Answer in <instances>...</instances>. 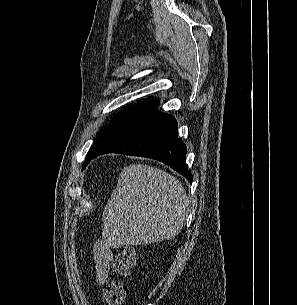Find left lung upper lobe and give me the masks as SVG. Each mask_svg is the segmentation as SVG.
Instances as JSON below:
<instances>
[{"label":"left lung upper lobe","mask_w":297,"mask_h":305,"mask_svg":"<svg viewBox=\"0 0 297 305\" xmlns=\"http://www.w3.org/2000/svg\"><path fill=\"white\" fill-rule=\"evenodd\" d=\"M119 114H120V113H117V114L114 116L113 120H111V122H110V123L105 127V129L103 130L102 134L96 139V141L94 142L93 146L91 147V149L89 150V152H88V154H87L86 160H85V162H84V164H83V168H85V167L87 166V164L89 163L88 159H89L90 155H91L92 153H94V152L99 148V146L101 145V143H102V141H103V139H104V137H105L107 131H108L109 128L111 127V125H112L114 119H115Z\"/></svg>","instance_id":"obj_1"}]
</instances>
